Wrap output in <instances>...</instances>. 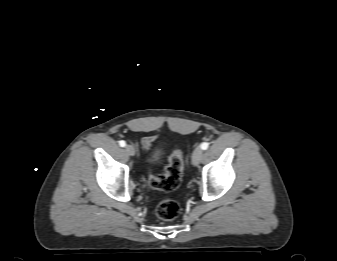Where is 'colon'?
<instances>
[{
    "label": "colon",
    "instance_id": "1",
    "mask_svg": "<svg viewBox=\"0 0 337 261\" xmlns=\"http://www.w3.org/2000/svg\"><path fill=\"white\" fill-rule=\"evenodd\" d=\"M182 174L183 154L180 149H176L169 156L164 173L160 176L151 175L148 181L153 188L169 192L180 186ZM155 212L159 219L170 221L178 216L180 206L174 200H164L157 205Z\"/></svg>",
    "mask_w": 337,
    "mask_h": 261
}]
</instances>
